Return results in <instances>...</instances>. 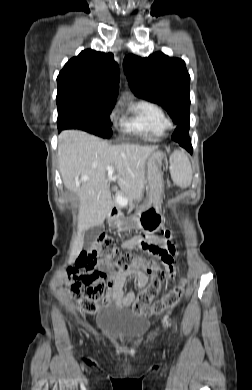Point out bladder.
<instances>
[{"label":"bladder","instance_id":"1","mask_svg":"<svg viewBox=\"0 0 252 390\" xmlns=\"http://www.w3.org/2000/svg\"><path fill=\"white\" fill-rule=\"evenodd\" d=\"M98 330L119 342H136L148 329V323L134 315L109 311L97 320Z\"/></svg>","mask_w":252,"mask_h":390}]
</instances>
